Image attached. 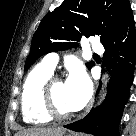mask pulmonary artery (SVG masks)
Masks as SVG:
<instances>
[{
  "label": "pulmonary artery",
  "instance_id": "obj_1",
  "mask_svg": "<svg viewBox=\"0 0 136 136\" xmlns=\"http://www.w3.org/2000/svg\"><path fill=\"white\" fill-rule=\"evenodd\" d=\"M91 49L96 53H102L104 51L102 44L97 40L92 41ZM58 60L59 57L56 53H49L45 56L43 63L51 70H54L58 63Z\"/></svg>",
  "mask_w": 136,
  "mask_h": 136
}]
</instances>
